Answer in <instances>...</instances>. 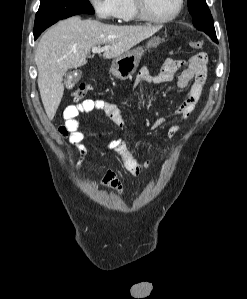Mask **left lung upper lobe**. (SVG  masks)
<instances>
[{"instance_id":"obj_1","label":"left lung upper lobe","mask_w":247,"mask_h":299,"mask_svg":"<svg viewBox=\"0 0 247 299\" xmlns=\"http://www.w3.org/2000/svg\"><path fill=\"white\" fill-rule=\"evenodd\" d=\"M188 7L193 17V25L209 35L211 39H217L213 18L206 0H188Z\"/></svg>"}]
</instances>
